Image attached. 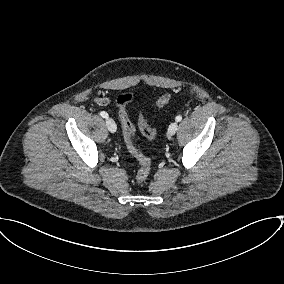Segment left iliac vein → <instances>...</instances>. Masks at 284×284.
I'll use <instances>...</instances> for the list:
<instances>
[{
	"mask_svg": "<svg viewBox=\"0 0 284 284\" xmlns=\"http://www.w3.org/2000/svg\"><path fill=\"white\" fill-rule=\"evenodd\" d=\"M177 129H178V123L177 122H172L169 125V128H168V135L169 136H173L176 133Z\"/></svg>",
	"mask_w": 284,
	"mask_h": 284,
	"instance_id": "obj_1",
	"label": "left iliac vein"
}]
</instances>
